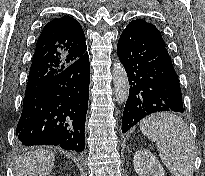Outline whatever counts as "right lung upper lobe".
<instances>
[{"label": "right lung upper lobe", "instance_id": "right-lung-upper-lobe-1", "mask_svg": "<svg viewBox=\"0 0 205 176\" xmlns=\"http://www.w3.org/2000/svg\"><path fill=\"white\" fill-rule=\"evenodd\" d=\"M86 48L84 31L76 19L51 20L37 40L25 93L62 72L86 54Z\"/></svg>", "mask_w": 205, "mask_h": 176}]
</instances>
